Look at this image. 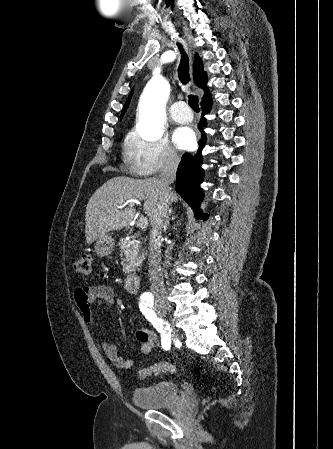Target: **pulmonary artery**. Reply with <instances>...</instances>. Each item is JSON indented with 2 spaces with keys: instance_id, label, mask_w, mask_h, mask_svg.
Instances as JSON below:
<instances>
[{
  "instance_id": "e3ab8cb5",
  "label": "pulmonary artery",
  "mask_w": 333,
  "mask_h": 449,
  "mask_svg": "<svg viewBox=\"0 0 333 449\" xmlns=\"http://www.w3.org/2000/svg\"><path fill=\"white\" fill-rule=\"evenodd\" d=\"M171 118L178 123H188L192 121L193 116L187 104L183 101L174 103L169 110Z\"/></svg>"
}]
</instances>
